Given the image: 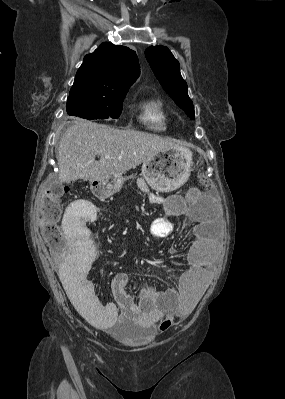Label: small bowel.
Listing matches in <instances>:
<instances>
[{"label": "small bowel", "mask_w": 285, "mask_h": 399, "mask_svg": "<svg viewBox=\"0 0 285 399\" xmlns=\"http://www.w3.org/2000/svg\"><path fill=\"white\" fill-rule=\"evenodd\" d=\"M148 198L151 203L161 205L165 213L149 225V232L155 237L165 238L173 233L172 217H192L193 206L184 204L178 196H170L165 202L154 194ZM78 210L90 220L78 218ZM95 215L93 207L78 199L67 206L63 217L67 245L72 252L68 258L55 260V263L64 291L75 309L92 325L106 331L127 322L150 331H164L187 318L209 279L204 235L198 233L191 239L185 255L187 267L178 279L177 288L161 291L152 285L140 286L116 278L111 286L114 301L104 305L88 278L95 258L88 226Z\"/></svg>", "instance_id": "1"}]
</instances>
